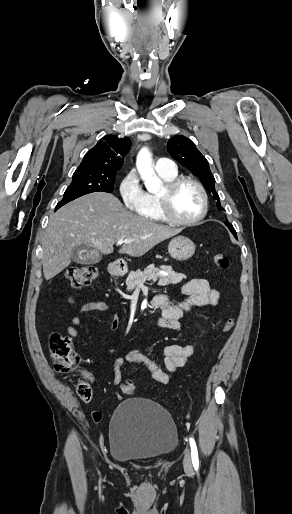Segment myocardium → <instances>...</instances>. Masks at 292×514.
Wrapping results in <instances>:
<instances>
[{
    "label": "myocardium",
    "mask_w": 292,
    "mask_h": 514,
    "mask_svg": "<svg viewBox=\"0 0 292 514\" xmlns=\"http://www.w3.org/2000/svg\"><path fill=\"white\" fill-rule=\"evenodd\" d=\"M183 185L194 186L200 195L201 206L199 213L190 220H181L177 218L171 211L170 207V196L179 187ZM159 209L164 216L165 220L180 226H191L202 220L207 212V194L204 187L197 181L190 178H176L173 181L165 183L163 191L160 194L155 195Z\"/></svg>",
    "instance_id": "1"
}]
</instances>
